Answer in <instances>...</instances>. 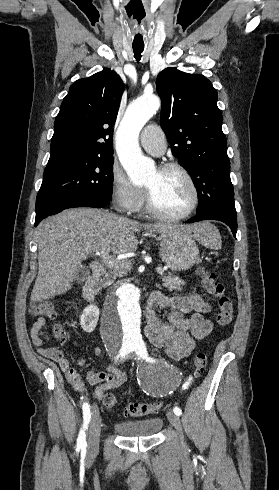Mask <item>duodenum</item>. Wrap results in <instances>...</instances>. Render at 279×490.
I'll use <instances>...</instances> for the list:
<instances>
[{"mask_svg":"<svg viewBox=\"0 0 279 490\" xmlns=\"http://www.w3.org/2000/svg\"><path fill=\"white\" fill-rule=\"evenodd\" d=\"M104 272V267L100 262L91 264V274L85 281L82 294L88 303H93L97 294V283Z\"/></svg>","mask_w":279,"mask_h":490,"instance_id":"duodenum-1","label":"duodenum"}]
</instances>
